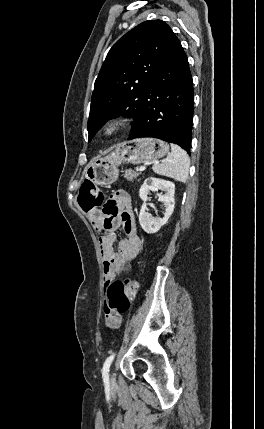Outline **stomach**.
Wrapping results in <instances>:
<instances>
[{
  "mask_svg": "<svg viewBox=\"0 0 264 429\" xmlns=\"http://www.w3.org/2000/svg\"><path fill=\"white\" fill-rule=\"evenodd\" d=\"M168 152L169 145L160 139L138 138L125 141L116 145L106 156L95 158L87 166L85 177L97 185H109L117 180L120 164L151 162Z\"/></svg>",
  "mask_w": 264,
  "mask_h": 429,
  "instance_id": "0dacf381",
  "label": "stomach"
}]
</instances>
